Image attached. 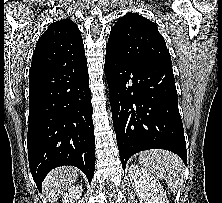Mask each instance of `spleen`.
Segmentation results:
<instances>
[{"label": "spleen", "instance_id": "obj_1", "mask_svg": "<svg viewBox=\"0 0 222 203\" xmlns=\"http://www.w3.org/2000/svg\"><path fill=\"white\" fill-rule=\"evenodd\" d=\"M139 163L158 178L165 180L172 191L181 188L185 179V166L176 154L162 149H151L140 153Z\"/></svg>", "mask_w": 222, "mask_h": 203}]
</instances>
